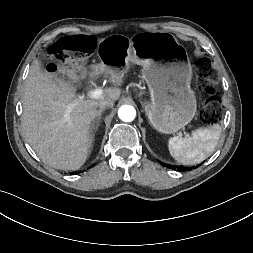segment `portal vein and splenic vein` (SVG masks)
I'll use <instances>...</instances> for the list:
<instances>
[{
	"mask_svg": "<svg viewBox=\"0 0 253 253\" xmlns=\"http://www.w3.org/2000/svg\"><path fill=\"white\" fill-rule=\"evenodd\" d=\"M102 89H94L89 91L88 96L91 99H99L102 96ZM186 136H188V134L186 133Z\"/></svg>",
	"mask_w": 253,
	"mask_h": 253,
	"instance_id": "portal-vein-and-splenic-vein-1",
	"label": "portal vein and splenic vein"
}]
</instances>
